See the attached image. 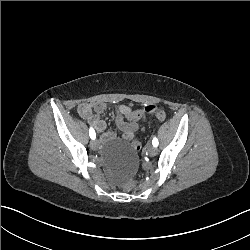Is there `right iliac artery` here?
<instances>
[{
    "instance_id": "right-iliac-artery-1",
    "label": "right iliac artery",
    "mask_w": 250,
    "mask_h": 250,
    "mask_svg": "<svg viewBox=\"0 0 250 250\" xmlns=\"http://www.w3.org/2000/svg\"><path fill=\"white\" fill-rule=\"evenodd\" d=\"M89 135H90L91 139H95L96 138V133H95V131H94L93 128H90Z\"/></svg>"
}]
</instances>
